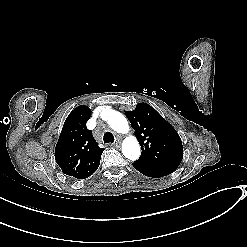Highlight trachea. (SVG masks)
Returning <instances> with one entry per match:
<instances>
[{
	"label": "trachea",
	"instance_id": "1",
	"mask_svg": "<svg viewBox=\"0 0 247 247\" xmlns=\"http://www.w3.org/2000/svg\"><path fill=\"white\" fill-rule=\"evenodd\" d=\"M104 143H113L115 141L111 132H105L103 137Z\"/></svg>",
	"mask_w": 247,
	"mask_h": 247
}]
</instances>
